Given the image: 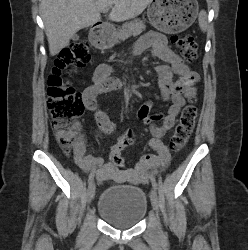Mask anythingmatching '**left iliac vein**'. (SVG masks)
<instances>
[{"instance_id":"4c4485c4","label":"left iliac vein","mask_w":248,"mask_h":250,"mask_svg":"<svg viewBox=\"0 0 248 250\" xmlns=\"http://www.w3.org/2000/svg\"><path fill=\"white\" fill-rule=\"evenodd\" d=\"M151 203L153 206V209L158 212L159 209V198L157 195V192L155 190H152L150 193Z\"/></svg>"}]
</instances>
